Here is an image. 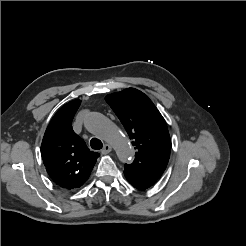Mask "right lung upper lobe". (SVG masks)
Here are the masks:
<instances>
[{
	"mask_svg": "<svg viewBox=\"0 0 246 246\" xmlns=\"http://www.w3.org/2000/svg\"><path fill=\"white\" fill-rule=\"evenodd\" d=\"M80 103V100H73L57 111L41 144L46 171L54 183L66 189L83 185L99 157V153L90 151L72 129V120Z\"/></svg>",
	"mask_w": 246,
	"mask_h": 246,
	"instance_id": "right-lung-upper-lobe-1",
	"label": "right lung upper lobe"
}]
</instances>
